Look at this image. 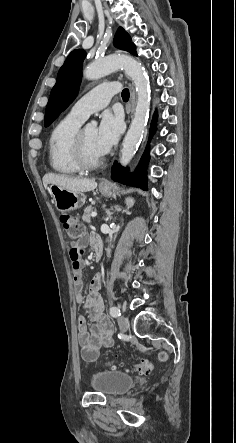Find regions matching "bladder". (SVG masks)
I'll return each mask as SVG.
<instances>
[{
	"instance_id": "1",
	"label": "bladder",
	"mask_w": 236,
	"mask_h": 443,
	"mask_svg": "<svg viewBox=\"0 0 236 443\" xmlns=\"http://www.w3.org/2000/svg\"><path fill=\"white\" fill-rule=\"evenodd\" d=\"M89 384L97 392L106 395H119L133 386L134 379L120 371H101L93 374Z\"/></svg>"
}]
</instances>
